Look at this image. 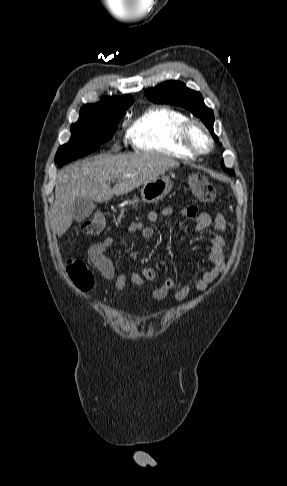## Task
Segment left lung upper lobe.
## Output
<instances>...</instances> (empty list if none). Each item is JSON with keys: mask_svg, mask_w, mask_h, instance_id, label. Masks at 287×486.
I'll use <instances>...</instances> for the list:
<instances>
[{"mask_svg": "<svg viewBox=\"0 0 287 486\" xmlns=\"http://www.w3.org/2000/svg\"><path fill=\"white\" fill-rule=\"evenodd\" d=\"M144 94L154 103H165L181 106L199 117L217 140L213 131L214 113L204 104L202 95L199 92L187 88L182 82L167 81L157 87L147 89ZM223 169L224 163L221 162ZM229 174L234 175L233 170L225 169Z\"/></svg>", "mask_w": 287, "mask_h": 486, "instance_id": "1", "label": "left lung upper lobe"}]
</instances>
